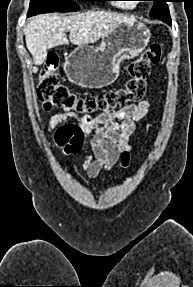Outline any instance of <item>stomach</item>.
Here are the masks:
<instances>
[{"label":"stomach","mask_w":193,"mask_h":287,"mask_svg":"<svg viewBox=\"0 0 193 287\" xmlns=\"http://www.w3.org/2000/svg\"><path fill=\"white\" fill-rule=\"evenodd\" d=\"M150 37L145 24L136 20L122 23L102 38L99 48L80 45L72 51L64 63V72L80 87H106L117 79L121 61L137 57Z\"/></svg>","instance_id":"stomach-1"}]
</instances>
